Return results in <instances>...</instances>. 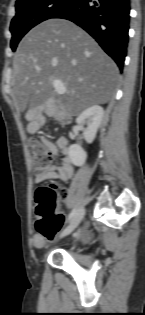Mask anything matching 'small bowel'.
Masks as SVG:
<instances>
[{
	"label": "small bowel",
	"mask_w": 145,
	"mask_h": 315,
	"mask_svg": "<svg viewBox=\"0 0 145 315\" xmlns=\"http://www.w3.org/2000/svg\"><path fill=\"white\" fill-rule=\"evenodd\" d=\"M40 126V119L32 120L28 125L30 132L36 131ZM44 144L53 155H62L59 165H52L44 172H35L34 182L39 184L48 180L68 181L73 174V167L69 157V144L67 139L60 138L56 142L43 139ZM65 194L62 193L61 199L64 200ZM64 217V216H63ZM32 244L36 248H42L45 244V237L41 233H36L32 238Z\"/></svg>",
	"instance_id": "1"
}]
</instances>
